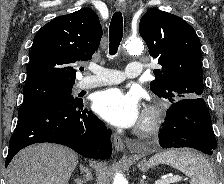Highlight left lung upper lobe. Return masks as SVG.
Returning a JSON list of instances; mask_svg holds the SVG:
<instances>
[{"label":"left lung upper lobe","instance_id":"obj_1","mask_svg":"<svg viewBox=\"0 0 224 184\" xmlns=\"http://www.w3.org/2000/svg\"><path fill=\"white\" fill-rule=\"evenodd\" d=\"M139 29L150 56L162 66L154 70L150 89L171 103L201 97V45L195 30L180 17L159 9L147 11Z\"/></svg>","mask_w":224,"mask_h":184}]
</instances>
